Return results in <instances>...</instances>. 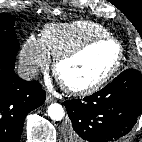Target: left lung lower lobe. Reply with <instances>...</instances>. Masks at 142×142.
I'll return each instance as SVG.
<instances>
[{"label":"left lung lower lobe","mask_w":142,"mask_h":142,"mask_svg":"<svg viewBox=\"0 0 142 142\" xmlns=\"http://www.w3.org/2000/svg\"><path fill=\"white\" fill-rule=\"evenodd\" d=\"M71 120L67 142L123 140L142 111V75L127 69L102 90L83 100L65 101Z\"/></svg>","instance_id":"left-lung-lower-lobe-1"}]
</instances>
